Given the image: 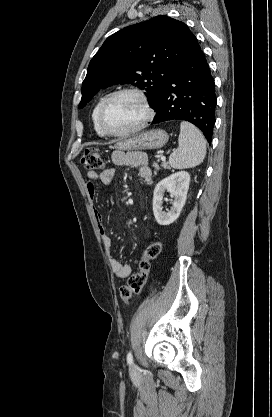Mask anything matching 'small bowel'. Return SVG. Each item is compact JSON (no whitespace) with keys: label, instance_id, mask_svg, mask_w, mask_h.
<instances>
[{"label":"small bowel","instance_id":"1","mask_svg":"<svg viewBox=\"0 0 272 417\" xmlns=\"http://www.w3.org/2000/svg\"><path fill=\"white\" fill-rule=\"evenodd\" d=\"M111 159L112 163L115 166H128L134 168L137 171L138 175L141 178H143L147 184H150L152 182V172L148 166V159L145 153L114 151L112 153ZM115 176L116 169L114 168L103 170L100 173H97L93 170L88 171V181L86 183V186L88 195L92 201L95 200L96 197L95 182L99 180L104 184H110ZM94 217L100 231L104 249L108 255L109 266L111 271L119 278L128 277L131 274L132 269L129 265L123 264L121 261H119L117 258L113 256L112 238L105 230L102 214L95 207Z\"/></svg>","mask_w":272,"mask_h":417}]
</instances>
